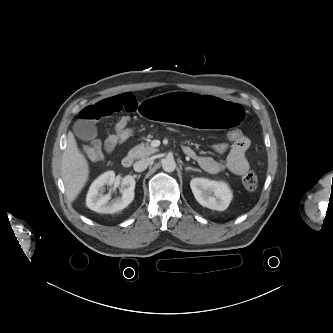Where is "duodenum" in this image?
Here are the masks:
<instances>
[{"label":"duodenum","instance_id":"410a0bca","mask_svg":"<svg viewBox=\"0 0 333 333\" xmlns=\"http://www.w3.org/2000/svg\"><path fill=\"white\" fill-rule=\"evenodd\" d=\"M133 161H134V159L131 155H126L125 157H123L121 164L123 167L129 168L133 164Z\"/></svg>","mask_w":333,"mask_h":333}]
</instances>
